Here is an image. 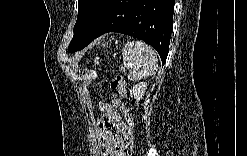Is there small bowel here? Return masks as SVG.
<instances>
[{
	"mask_svg": "<svg viewBox=\"0 0 247 156\" xmlns=\"http://www.w3.org/2000/svg\"><path fill=\"white\" fill-rule=\"evenodd\" d=\"M114 95L111 102H102L103 117L97 125V135L103 155L124 156L133 144L132 132L122 120Z\"/></svg>",
	"mask_w": 247,
	"mask_h": 156,
	"instance_id": "small-bowel-1",
	"label": "small bowel"
}]
</instances>
